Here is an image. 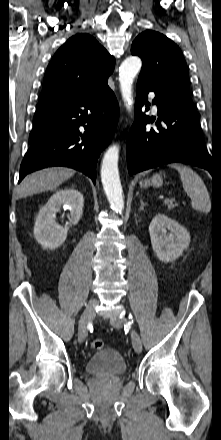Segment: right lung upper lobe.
Returning a JSON list of instances; mask_svg holds the SVG:
<instances>
[{"instance_id": "cb5924a9", "label": "right lung upper lobe", "mask_w": 221, "mask_h": 440, "mask_svg": "<svg viewBox=\"0 0 221 440\" xmlns=\"http://www.w3.org/2000/svg\"><path fill=\"white\" fill-rule=\"evenodd\" d=\"M114 65V57L94 37L85 33L72 36L47 67L39 103L103 92L109 87Z\"/></svg>"}]
</instances>
